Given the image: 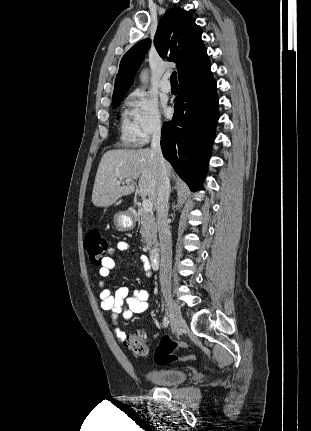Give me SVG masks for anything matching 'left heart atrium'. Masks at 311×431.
<instances>
[{
    "instance_id": "1",
    "label": "left heart atrium",
    "mask_w": 311,
    "mask_h": 431,
    "mask_svg": "<svg viewBox=\"0 0 311 431\" xmlns=\"http://www.w3.org/2000/svg\"><path fill=\"white\" fill-rule=\"evenodd\" d=\"M165 113H166V114H169V113H170V108H169V107H167V106H165Z\"/></svg>"
}]
</instances>
